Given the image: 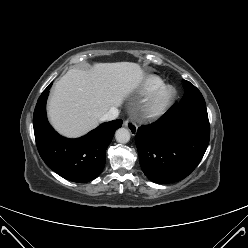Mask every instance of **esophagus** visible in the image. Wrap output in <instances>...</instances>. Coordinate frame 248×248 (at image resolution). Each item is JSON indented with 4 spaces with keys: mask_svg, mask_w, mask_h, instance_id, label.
<instances>
[{
    "mask_svg": "<svg viewBox=\"0 0 248 248\" xmlns=\"http://www.w3.org/2000/svg\"><path fill=\"white\" fill-rule=\"evenodd\" d=\"M124 126L131 132L132 135L137 133L138 127L131 119L125 120Z\"/></svg>",
    "mask_w": 248,
    "mask_h": 248,
    "instance_id": "1",
    "label": "esophagus"
}]
</instances>
